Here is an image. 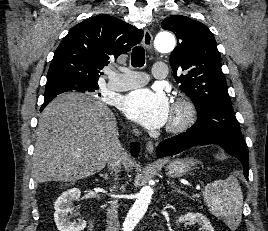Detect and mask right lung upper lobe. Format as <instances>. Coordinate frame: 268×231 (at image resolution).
Instances as JSON below:
<instances>
[{
  "label": "right lung upper lobe",
  "instance_id": "obj_1",
  "mask_svg": "<svg viewBox=\"0 0 268 231\" xmlns=\"http://www.w3.org/2000/svg\"><path fill=\"white\" fill-rule=\"evenodd\" d=\"M143 34L142 30L106 14L75 25L54 53L46 86L59 82L98 85L100 70L139 43ZM51 100L45 98L42 106Z\"/></svg>",
  "mask_w": 268,
  "mask_h": 231
}]
</instances>
